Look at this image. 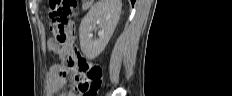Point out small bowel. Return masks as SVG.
<instances>
[{
	"label": "small bowel",
	"mask_w": 232,
	"mask_h": 96,
	"mask_svg": "<svg viewBox=\"0 0 232 96\" xmlns=\"http://www.w3.org/2000/svg\"><path fill=\"white\" fill-rule=\"evenodd\" d=\"M78 22H68L67 24V30L69 35H78L80 32V27H78ZM49 49L56 52L57 44L50 40L48 42ZM89 68H91L93 65L89 63L87 65ZM67 72L68 68L67 66L63 65H55L50 68L48 74H47V82H48V89L47 94L49 96L55 95V94H61L62 91L65 89L67 84ZM70 96H78L79 91L77 90L76 85L73 87V89L69 93Z\"/></svg>",
	"instance_id": "obj_1"
}]
</instances>
